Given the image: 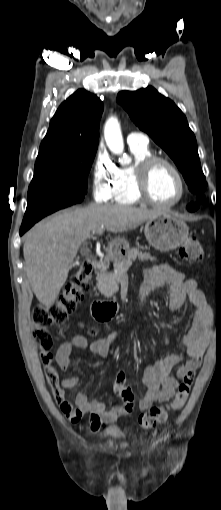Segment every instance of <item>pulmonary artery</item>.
<instances>
[{"label":"pulmonary artery","instance_id":"e3ab8cb5","mask_svg":"<svg viewBox=\"0 0 221 510\" xmlns=\"http://www.w3.org/2000/svg\"><path fill=\"white\" fill-rule=\"evenodd\" d=\"M127 142L129 145H148L149 137L139 131H134L128 134Z\"/></svg>","mask_w":221,"mask_h":510}]
</instances>
